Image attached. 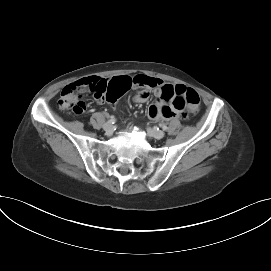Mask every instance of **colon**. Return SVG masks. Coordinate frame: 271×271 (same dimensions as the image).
<instances>
[{
	"instance_id": "5ec220e1",
	"label": "colon",
	"mask_w": 271,
	"mask_h": 271,
	"mask_svg": "<svg viewBox=\"0 0 271 271\" xmlns=\"http://www.w3.org/2000/svg\"><path fill=\"white\" fill-rule=\"evenodd\" d=\"M89 83L84 81H78L76 83L67 85L60 94L57 102V106L61 110H67L73 115L82 114L85 110V103L81 99V93L84 88L89 90ZM90 92V91H89ZM164 95L166 98H171L173 92L169 89H165ZM201 99L199 94L191 88H177L175 91V104L177 106L187 105L191 111L195 112L199 108Z\"/></svg>"
}]
</instances>
